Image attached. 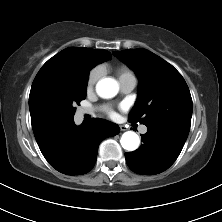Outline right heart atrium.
<instances>
[{
	"instance_id": "obj_1",
	"label": "right heart atrium",
	"mask_w": 222,
	"mask_h": 222,
	"mask_svg": "<svg viewBox=\"0 0 222 222\" xmlns=\"http://www.w3.org/2000/svg\"><path fill=\"white\" fill-rule=\"evenodd\" d=\"M101 77V70L98 67L93 68L88 75L87 79V89L91 90L96 85L97 81Z\"/></svg>"
}]
</instances>
